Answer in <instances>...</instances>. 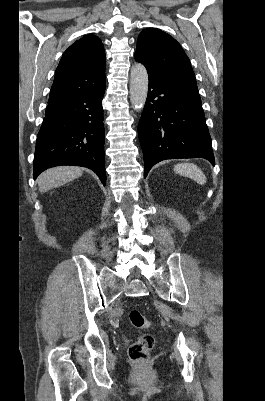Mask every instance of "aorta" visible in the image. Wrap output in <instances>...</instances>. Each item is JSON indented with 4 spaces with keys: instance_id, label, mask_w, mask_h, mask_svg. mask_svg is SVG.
I'll return each mask as SVG.
<instances>
[{
    "instance_id": "1",
    "label": "aorta",
    "mask_w": 265,
    "mask_h": 401,
    "mask_svg": "<svg viewBox=\"0 0 265 401\" xmlns=\"http://www.w3.org/2000/svg\"><path fill=\"white\" fill-rule=\"evenodd\" d=\"M148 92V72L141 62L130 70V100L135 110H142Z\"/></svg>"
}]
</instances>
